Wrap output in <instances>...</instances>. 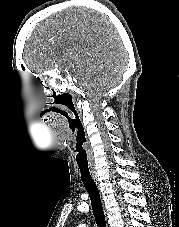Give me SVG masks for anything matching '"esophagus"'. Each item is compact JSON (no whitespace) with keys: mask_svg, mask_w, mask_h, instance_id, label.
<instances>
[{"mask_svg":"<svg viewBox=\"0 0 179 227\" xmlns=\"http://www.w3.org/2000/svg\"><path fill=\"white\" fill-rule=\"evenodd\" d=\"M90 172H91V175H92V178H93L95 184L97 185V187H99L98 186L97 174H96L94 167L90 166Z\"/></svg>","mask_w":179,"mask_h":227,"instance_id":"esophagus-1","label":"esophagus"}]
</instances>
